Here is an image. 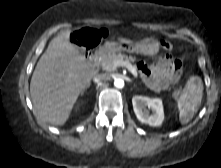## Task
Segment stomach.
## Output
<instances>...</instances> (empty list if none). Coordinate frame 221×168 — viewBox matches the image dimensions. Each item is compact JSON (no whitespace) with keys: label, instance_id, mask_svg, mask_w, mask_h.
Segmentation results:
<instances>
[{"label":"stomach","instance_id":"0dacf381","mask_svg":"<svg viewBox=\"0 0 221 168\" xmlns=\"http://www.w3.org/2000/svg\"><path fill=\"white\" fill-rule=\"evenodd\" d=\"M159 42L154 38H145L138 42L131 43H117V42H106L102 47L104 54H112L115 52H136L148 56L156 55L159 52Z\"/></svg>","mask_w":221,"mask_h":168}]
</instances>
